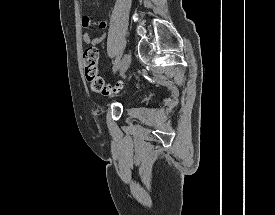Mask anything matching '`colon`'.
<instances>
[{
	"instance_id": "colon-1",
	"label": "colon",
	"mask_w": 275,
	"mask_h": 215,
	"mask_svg": "<svg viewBox=\"0 0 275 215\" xmlns=\"http://www.w3.org/2000/svg\"><path fill=\"white\" fill-rule=\"evenodd\" d=\"M98 61L99 53L95 47H88L84 50L82 55L84 74L90 83L91 89L106 96L117 93L122 89V83H116L115 85L106 84L103 78L99 76Z\"/></svg>"
}]
</instances>
